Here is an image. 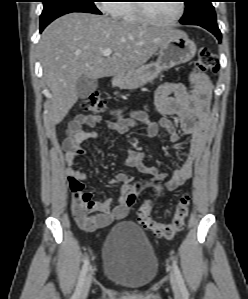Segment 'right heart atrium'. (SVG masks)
<instances>
[{
    "instance_id": "d8ad5b80",
    "label": "right heart atrium",
    "mask_w": 248,
    "mask_h": 299,
    "mask_svg": "<svg viewBox=\"0 0 248 299\" xmlns=\"http://www.w3.org/2000/svg\"><path fill=\"white\" fill-rule=\"evenodd\" d=\"M102 3L99 4V8L107 13L113 14L114 13V6L116 5V2L110 1V0H103L100 1Z\"/></svg>"
}]
</instances>
